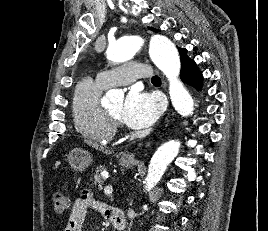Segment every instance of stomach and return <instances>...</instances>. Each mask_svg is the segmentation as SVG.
<instances>
[{"instance_id":"stomach-1","label":"stomach","mask_w":268,"mask_h":231,"mask_svg":"<svg viewBox=\"0 0 268 231\" xmlns=\"http://www.w3.org/2000/svg\"><path fill=\"white\" fill-rule=\"evenodd\" d=\"M67 161L75 171L83 172L92 163V155L86 150L75 148L67 155ZM121 165L124 168H130L132 166V162L121 161Z\"/></svg>"}]
</instances>
